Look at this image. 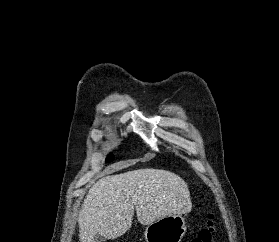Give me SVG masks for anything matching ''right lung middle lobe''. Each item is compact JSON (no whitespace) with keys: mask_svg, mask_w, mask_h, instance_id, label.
<instances>
[{"mask_svg":"<svg viewBox=\"0 0 279 242\" xmlns=\"http://www.w3.org/2000/svg\"><path fill=\"white\" fill-rule=\"evenodd\" d=\"M112 160H113V155H112V154H109L108 157H107V159H106V161H107V162H110V161H112Z\"/></svg>","mask_w":279,"mask_h":242,"instance_id":"right-lung-middle-lobe-1","label":"right lung middle lobe"}]
</instances>
